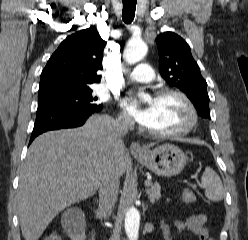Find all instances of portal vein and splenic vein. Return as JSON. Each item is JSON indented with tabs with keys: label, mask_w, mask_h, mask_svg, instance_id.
Masks as SVG:
<instances>
[{
	"label": "portal vein and splenic vein",
	"mask_w": 248,
	"mask_h": 240,
	"mask_svg": "<svg viewBox=\"0 0 248 240\" xmlns=\"http://www.w3.org/2000/svg\"><path fill=\"white\" fill-rule=\"evenodd\" d=\"M150 184H151L150 181H145V185H146V186H148V185H150Z\"/></svg>",
	"instance_id": "portal-vein-and-splenic-vein-1"
}]
</instances>
